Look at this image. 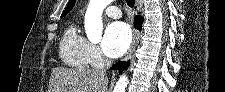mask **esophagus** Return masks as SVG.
Returning a JSON list of instances; mask_svg holds the SVG:
<instances>
[{
	"label": "esophagus",
	"mask_w": 225,
	"mask_h": 92,
	"mask_svg": "<svg viewBox=\"0 0 225 92\" xmlns=\"http://www.w3.org/2000/svg\"><path fill=\"white\" fill-rule=\"evenodd\" d=\"M138 38H139L138 31L135 30L132 43H131L130 48L128 49V51H127V53L124 57V60H128L130 58V56L132 55L133 51L135 50V48L137 46Z\"/></svg>",
	"instance_id": "1"
}]
</instances>
